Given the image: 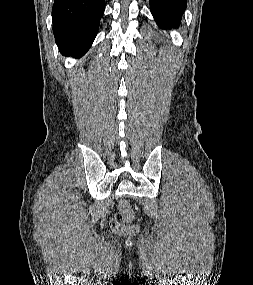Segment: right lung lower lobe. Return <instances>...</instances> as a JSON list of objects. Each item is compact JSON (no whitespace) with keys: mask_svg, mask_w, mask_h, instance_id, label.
I'll return each mask as SVG.
<instances>
[{"mask_svg":"<svg viewBox=\"0 0 253 285\" xmlns=\"http://www.w3.org/2000/svg\"><path fill=\"white\" fill-rule=\"evenodd\" d=\"M105 0H55L53 33L63 55H84L91 47L104 13Z\"/></svg>","mask_w":253,"mask_h":285,"instance_id":"obj_1","label":"right lung lower lobe"}]
</instances>
